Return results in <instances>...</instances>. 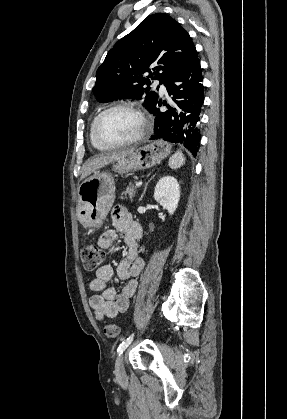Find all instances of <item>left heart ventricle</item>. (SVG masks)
I'll use <instances>...</instances> for the list:
<instances>
[{"label":"left heart ventricle","instance_id":"left-heart-ventricle-1","mask_svg":"<svg viewBox=\"0 0 287 419\" xmlns=\"http://www.w3.org/2000/svg\"><path fill=\"white\" fill-rule=\"evenodd\" d=\"M140 127V118L136 113L116 109L104 116L99 125V134L108 142H121L134 137Z\"/></svg>","mask_w":287,"mask_h":419}]
</instances>
